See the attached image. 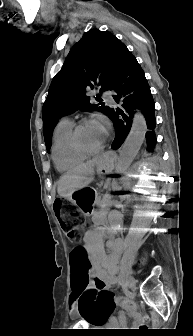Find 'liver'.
Here are the masks:
<instances>
[{
    "label": "liver",
    "instance_id": "6515ba94",
    "mask_svg": "<svg viewBox=\"0 0 193 336\" xmlns=\"http://www.w3.org/2000/svg\"><path fill=\"white\" fill-rule=\"evenodd\" d=\"M101 161L102 156L95 157L62 175L58 181V194L70 198L74 191L88 186L94 179L95 167Z\"/></svg>",
    "mask_w": 193,
    "mask_h": 336
}]
</instances>
